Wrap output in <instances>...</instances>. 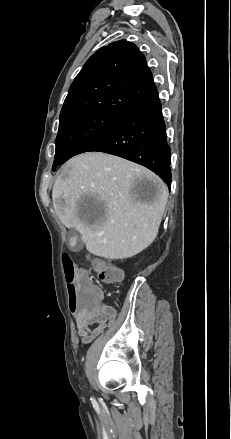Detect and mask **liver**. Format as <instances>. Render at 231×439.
Here are the masks:
<instances>
[{"label":"liver","instance_id":"6515ba94","mask_svg":"<svg viewBox=\"0 0 231 439\" xmlns=\"http://www.w3.org/2000/svg\"><path fill=\"white\" fill-rule=\"evenodd\" d=\"M141 178L153 183L148 196L138 186ZM167 198V187L155 173L101 152L71 158L52 189L60 221L80 233L90 253L108 259L130 258L154 241ZM88 200L95 204L83 208Z\"/></svg>","mask_w":231,"mask_h":439}]
</instances>
